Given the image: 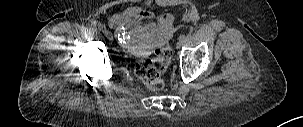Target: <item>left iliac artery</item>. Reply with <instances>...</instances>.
I'll use <instances>...</instances> for the list:
<instances>
[{
  "label": "left iliac artery",
  "instance_id": "44dca946",
  "mask_svg": "<svg viewBox=\"0 0 303 127\" xmlns=\"http://www.w3.org/2000/svg\"><path fill=\"white\" fill-rule=\"evenodd\" d=\"M183 36L186 38V41L189 42V43H190V42L192 41V39H193L190 33H185Z\"/></svg>",
  "mask_w": 303,
  "mask_h": 127
}]
</instances>
